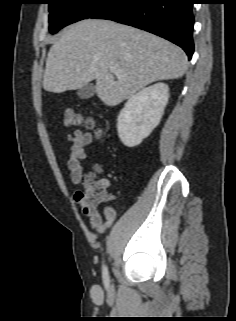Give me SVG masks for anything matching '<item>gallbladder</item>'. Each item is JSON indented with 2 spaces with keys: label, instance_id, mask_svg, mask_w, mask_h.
I'll use <instances>...</instances> for the list:
<instances>
[{
  "label": "gallbladder",
  "instance_id": "gallbladder-1",
  "mask_svg": "<svg viewBox=\"0 0 236 321\" xmlns=\"http://www.w3.org/2000/svg\"><path fill=\"white\" fill-rule=\"evenodd\" d=\"M94 93H95V86L92 83H88L87 85L83 86L77 91V95L81 99H89L94 95Z\"/></svg>",
  "mask_w": 236,
  "mask_h": 321
}]
</instances>
